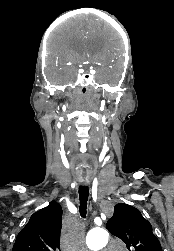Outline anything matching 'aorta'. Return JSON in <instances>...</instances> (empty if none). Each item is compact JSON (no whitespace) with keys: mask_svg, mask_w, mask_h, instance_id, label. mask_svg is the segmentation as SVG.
Masks as SVG:
<instances>
[{"mask_svg":"<svg viewBox=\"0 0 174 251\" xmlns=\"http://www.w3.org/2000/svg\"><path fill=\"white\" fill-rule=\"evenodd\" d=\"M109 235L103 229H92L86 236V244L90 250L98 251L106 246Z\"/></svg>","mask_w":174,"mask_h":251,"instance_id":"762f6f07","label":"aorta"}]
</instances>
